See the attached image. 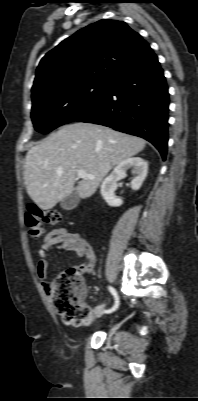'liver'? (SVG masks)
Returning <instances> with one entry per match:
<instances>
[{"label":"liver","instance_id":"liver-1","mask_svg":"<svg viewBox=\"0 0 198 401\" xmlns=\"http://www.w3.org/2000/svg\"><path fill=\"white\" fill-rule=\"evenodd\" d=\"M145 145L140 137L101 125H64L28 151L24 165L27 193L42 209H51L72 193L77 171L84 170L94 178H82L76 190L79 197L88 198L113 167Z\"/></svg>","mask_w":198,"mask_h":401}]
</instances>
